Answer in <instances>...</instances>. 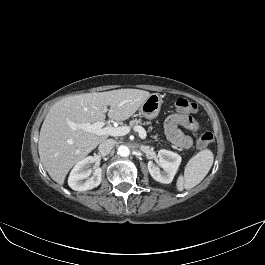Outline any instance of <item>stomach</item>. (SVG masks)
I'll return each instance as SVG.
<instances>
[{
  "label": "stomach",
  "mask_w": 265,
  "mask_h": 265,
  "mask_svg": "<svg viewBox=\"0 0 265 265\" xmlns=\"http://www.w3.org/2000/svg\"><path fill=\"white\" fill-rule=\"evenodd\" d=\"M162 105V98L159 94H151L140 106L139 114L147 119H154L158 116Z\"/></svg>",
  "instance_id": "1"
}]
</instances>
